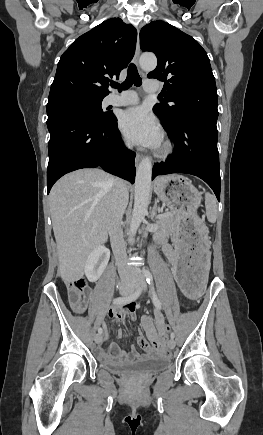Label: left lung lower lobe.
Segmentation results:
<instances>
[{"mask_svg": "<svg viewBox=\"0 0 263 435\" xmlns=\"http://www.w3.org/2000/svg\"><path fill=\"white\" fill-rule=\"evenodd\" d=\"M216 119L188 117L170 128L164 127L174 142L173 154L155 165L152 179L158 175L187 173L203 179L220 201V173Z\"/></svg>", "mask_w": 263, "mask_h": 435, "instance_id": "0a47b994", "label": "left lung lower lobe"}]
</instances>
